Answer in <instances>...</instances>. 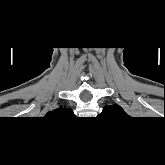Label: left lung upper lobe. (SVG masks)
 Returning <instances> with one entry per match:
<instances>
[{
    "label": "left lung upper lobe",
    "instance_id": "5c2ea615",
    "mask_svg": "<svg viewBox=\"0 0 165 165\" xmlns=\"http://www.w3.org/2000/svg\"><path fill=\"white\" fill-rule=\"evenodd\" d=\"M101 115H106V116L111 115L113 117H116V116L123 117L127 114L123 111V109L119 105L114 104L111 106H105Z\"/></svg>",
    "mask_w": 165,
    "mask_h": 165
}]
</instances>
